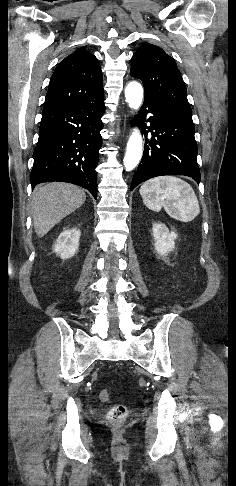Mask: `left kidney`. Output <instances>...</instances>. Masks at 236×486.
Segmentation results:
<instances>
[{"label": "left kidney", "mask_w": 236, "mask_h": 486, "mask_svg": "<svg viewBox=\"0 0 236 486\" xmlns=\"http://www.w3.org/2000/svg\"><path fill=\"white\" fill-rule=\"evenodd\" d=\"M153 237L155 240V250L161 256H166L175 248V239L177 234L174 231H169L168 227L162 223H154Z\"/></svg>", "instance_id": "obj_1"}]
</instances>
